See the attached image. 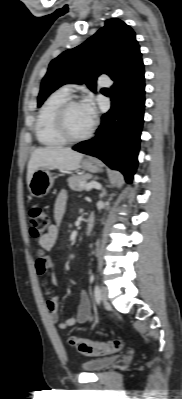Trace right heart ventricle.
Returning <instances> with one entry per match:
<instances>
[{
    "label": "right heart ventricle",
    "mask_w": 182,
    "mask_h": 399,
    "mask_svg": "<svg viewBox=\"0 0 182 399\" xmlns=\"http://www.w3.org/2000/svg\"><path fill=\"white\" fill-rule=\"evenodd\" d=\"M67 99H69V92L61 88L50 94L41 106L36 121L35 132L37 140L42 145L56 147L66 143L57 132L55 115L58 108Z\"/></svg>",
    "instance_id": "1"
}]
</instances>
